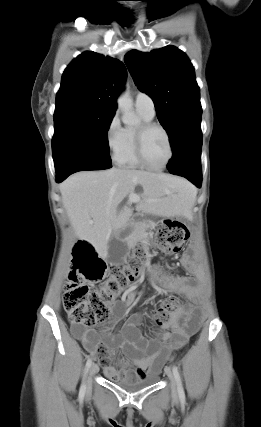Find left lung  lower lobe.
Here are the masks:
<instances>
[{"instance_id": "0a47b994", "label": "left lung lower lobe", "mask_w": 261, "mask_h": 427, "mask_svg": "<svg viewBox=\"0 0 261 427\" xmlns=\"http://www.w3.org/2000/svg\"><path fill=\"white\" fill-rule=\"evenodd\" d=\"M201 125H194L184 130L172 145L173 156L167 168L171 174L183 176L201 187Z\"/></svg>"}]
</instances>
